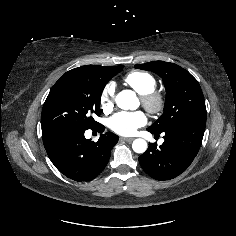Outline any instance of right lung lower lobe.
Masks as SVG:
<instances>
[{
    "label": "right lung lower lobe",
    "instance_id": "1",
    "mask_svg": "<svg viewBox=\"0 0 236 236\" xmlns=\"http://www.w3.org/2000/svg\"><path fill=\"white\" fill-rule=\"evenodd\" d=\"M99 124L92 130L103 132ZM83 129H67L43 138L46 152L56 168L66 177L77 181H91L106 167L113 146L119 137L114 133L101 134L91 142L84 137Z\"/></svg>",
    "mask_w": 236,
    "mask_h": 236
}]
</instances>
